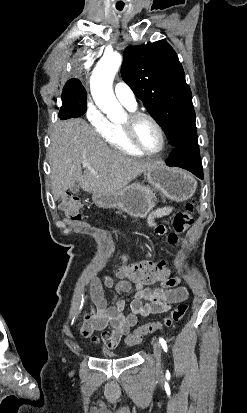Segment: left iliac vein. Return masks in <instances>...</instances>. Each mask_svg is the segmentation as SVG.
<instances>
[{"instance_id": "left-iliac-vein-1", "label": "left iliac vein", "mask_w": 247, "mask_h": 413, "mask_svg": "<svg viewBox=\"0 0 247 413\" xmlns=\"http://www.w3.org/2000/svg\"><path fill=\"white\" fill-rule=\"evenodd\" d=\"M152 348H153L155 359H156L157 373L162 374V364H161L162 347L159 344V342L153 341Z\"/></svg>"}]
</instances>
